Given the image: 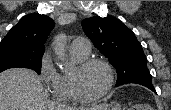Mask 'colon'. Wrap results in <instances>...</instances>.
<instances>
[{"instance_id": "colon-1", "label": "colon", "mask_w": 171, "mask_h": 110, "mask_svg": "<svg viewBox=\"0 0 171 110\" xmlns=\"http://www.w3.org/2000/svg\"><path fill=\"white\" fill-rule=\"evenodd\" d=\"M129 110H139V109L137 108V106H132L129 108Z\"/></svg>"}]
</instances>
